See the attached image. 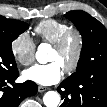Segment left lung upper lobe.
I'll return each mask as SVG.
<instances>
[{"label": "left lung upper lobe", "instance_id": "left-lung-upper-lobe-1", "mask_svg": "<svg viewBox=\"0 0 107 107\" xmlns=\"http://www.w3.org/2000/svg\"><path fill=\"white\" fill-rule=\"evenodd\" d=\"M65 17L76 25L83 39L76 72L65 80L76 86V90L66 100L68 107H83L85 89L81 87L82 82L91 77H107V30L97 19L81 10L70 11Z\"/></svg>", "mask_w": 107, "mask_h": 107}]
</instances>
